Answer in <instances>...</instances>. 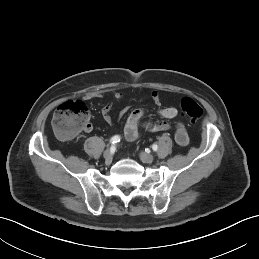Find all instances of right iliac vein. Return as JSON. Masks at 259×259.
I'll return each mask as SVG.
<instances>
[{
	"mask_svg": "<svg viewBox=\"0 0 259 259\" xmlns=\"http://www.w3.org/2000/svg\"><path fill=\"white\" fill-rule=\"evenodd\" d=\"M106 165H110L113 159L112 153L110 150H106L103 154Z\"/></svg>",
	"mask_w": 259,
	"mask_h": 259,
	"instance_id": "obj_1",
	"label": "right iliac vein"
}]
</instances>
